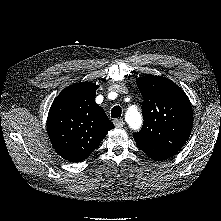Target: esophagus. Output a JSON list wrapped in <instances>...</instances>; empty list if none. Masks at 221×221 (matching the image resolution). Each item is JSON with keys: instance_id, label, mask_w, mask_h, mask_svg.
Masks as SVG:
<instances>
[{"instance_id": "1", "label": "esophagus", "mask_w": 221, "mask_h": 221, "mask_svg": "<svg viewBox=\"0 0 221 221\" xmlns=\"http://www.w3.org/2000/svg\"><path fill=\"white\" fill-rule=\"evenodd\" d=\"M114 124L116 127H123L125 123L122 119H115Z\"/></svg>"}]
</instances>
